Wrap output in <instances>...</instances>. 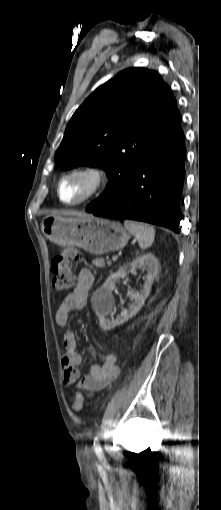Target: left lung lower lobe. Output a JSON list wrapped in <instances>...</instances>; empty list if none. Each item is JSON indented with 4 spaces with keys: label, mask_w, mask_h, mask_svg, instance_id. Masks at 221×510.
Segmentation results:
<instances>
[{
    "label": "left lung lower lobe",
    "mask_w": 221,
    "mask_h": 510,
    "mask_svg": "<svg viewBox=\"0 0 221 510\" xmlns=\"http://www.w3.org/2000/svg\"><path fill=\"white\" fill-rule=\"evenodd\" d=\"M183 132L150 151L123 191L109 203L86 211L96 216L144 221L179 233L185 176Z\"/></svg>",
    "instance_id": "1"
}]
</instances>
